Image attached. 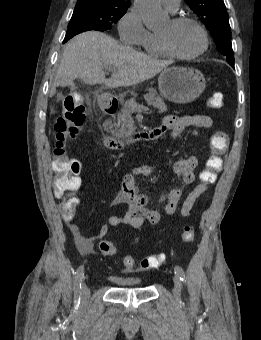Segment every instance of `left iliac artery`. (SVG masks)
<instances>
[{"label":"left iliac artery","instance_id":"1","mask_svg":"<svg viewBox=\"0 0 261 340\" xmlns=\"http://www.w3.org/2000/svg\"><path fill=\"white\" fill-rule=\"evenodd\" d=\"M175 274L179 277L182 283L186 282V275L182 267L175 266L174 268Z\"/></svg>","mask_w":261,"mask_h":340}]
</instances>
